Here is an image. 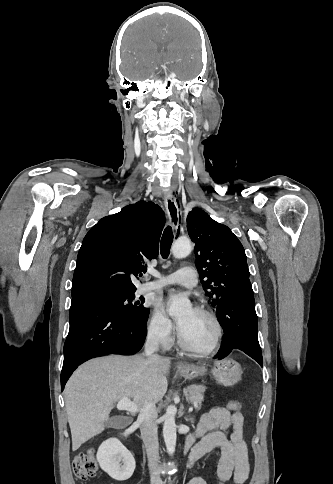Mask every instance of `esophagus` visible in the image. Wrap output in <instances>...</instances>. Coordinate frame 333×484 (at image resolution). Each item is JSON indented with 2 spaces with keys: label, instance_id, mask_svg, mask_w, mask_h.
<instances>
[{
  "label": "esophagus",
  "instance_id": "34e87169",
  "mask_svg": "<svg viewBox=\"0 0 333 484\" xmlns=\"http://www.w3.org/2000/svg\"><path fill=\"white\" fill-rule=\"evenodd\" d=\"M164 204L170 219V223L173 229L177 232L180 225V216H179L180 209L178 207L176 198L171 194H167L164 197Z\"/></svg>",
  "mask_w": 333,
  "mask_h": 484
}]
</instances>
